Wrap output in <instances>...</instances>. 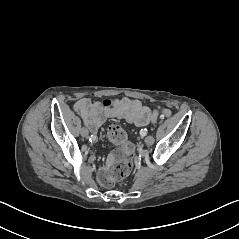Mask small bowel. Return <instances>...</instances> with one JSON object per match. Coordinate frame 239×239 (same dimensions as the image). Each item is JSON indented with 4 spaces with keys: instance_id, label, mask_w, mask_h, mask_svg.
Wrapping results in <instances>:
<instances>
[{
    "instance_id": "1",
    "label": "small bowel",
    "mask_w": 239,
    "mask_h": 239,
    "mask_svg": "<svg viewBox=\"0 0 239 239\" xmlns=\"http://www.w3.org/2000/svg\"><path fill=\"white\" fill-rule=\"evenodd\" d=\"M74 109L93 132H96L108 118L125 120L130 124L142 127L154 123L159 114L158 110H151L141 101L130 98L107 100L105 104L83 97L75 103Z\"/></svg>"
}]
</instances>
